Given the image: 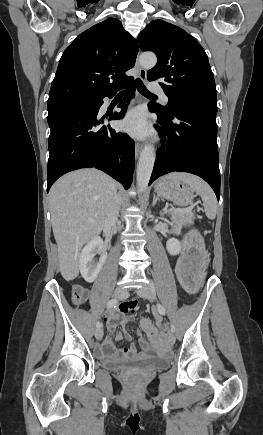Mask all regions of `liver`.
Listing matches in <instances>:
<instances>
[{
	"instance_id": "6515ba94",
	"label": "liver",
	"mask_w": 263,
	"mask_h": 435,
	"mask_svg": "<svg viewBox=\"0 0 263 435\" xmlns=\"http://www.w3.org/2000/svg\"><path fill=\"white\" fill-rule=\"evenodd\" d=\"M116 195L117 183L94 168L66 174L50 189L52 229L66 281L78 276L80 250L104 228Z\"/></svg>"
}]
</instances>
